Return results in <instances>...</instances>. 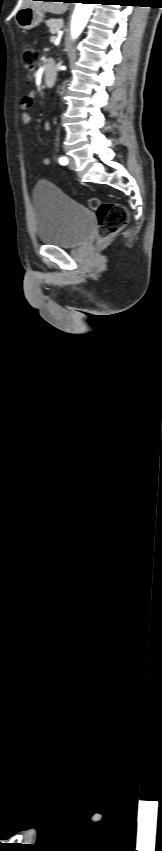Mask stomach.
Instances as JSON below:
<instances>
[{
	"label": "stomach",
	"instance_id": "obj_1",
	"mask_svg": "<svg viewBox=\"0 0 162 851\" xmlns=\"http://www.w3.org/2000/svg\"><path fill=\"white\" fill-rule=\"evenodd\" d=\"M44 13L41 10L34 9L32 7H22L20 8L16 15L15 21L19 28L24 30H30L43 20Z\"/></svg>",
	"mask_w": 162,
	"mask_h": 851
}]
</instances>
